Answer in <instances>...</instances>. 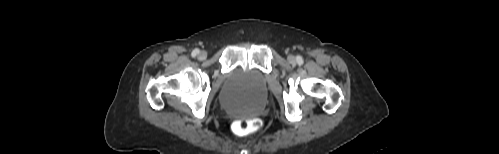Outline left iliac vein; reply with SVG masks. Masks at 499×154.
<instances>
[{"label":"left iliac vein","mask_w":499,"mask_h":154,"mask_svg":"<svg viewBox=\"0 0 499 154\" xmlns=\"http://www.w3.org/2000/svg\"><path fill=\"white\" fill-rule=\"evenodd\" d=\"M288 60H289V62L293 63V62H295V57L293 55H289Z\"/></svg>","instance_id":"left-iliac-vein-1"}]
</instances>
